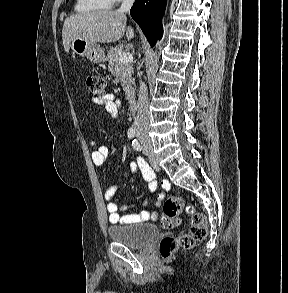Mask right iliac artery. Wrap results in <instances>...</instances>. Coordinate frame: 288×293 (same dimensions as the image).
<instances>
[{
    "label": "right iliac artery",
    "mask_w": 288,
    "mask_h": 293,
    "mask_svg": "<svg viewBox=\"0 0 288 293\" xmlns=\"http://www.w3.org/2000/svg\"><path fill=\"white\" fill-rule=\"evenodd\" d=\"M135 134H136V130H135V128H130L129 130H128V132H127V135H128V137L129 138H133L134 136H135Z\"/></svg>",
    "instance_id": "right-iliac-artery-1"
}]
</instances>
